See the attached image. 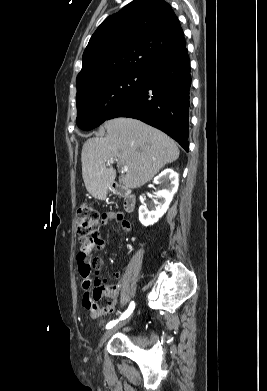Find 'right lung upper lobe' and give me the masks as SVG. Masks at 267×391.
Returning <instances> with one entry per match:
<instances>
[{
	"mask_svg": "<svg viewBox=\"0 0 267 391\" xmlns=\"http://www.w3.org/2000/svg\"><path fill=\"white\" fill-rule=\"evenodd\" d=\"M186 47L179 20L164 0H134L102 22L92 35L77 76V91L99 76L145 72Z\"/></svg>",
	"mask_w": 267,
	"mask_h": 391,
	"instance_id": "obj_1",
	"label": "right lung upper lobe"
}]
</instances>
